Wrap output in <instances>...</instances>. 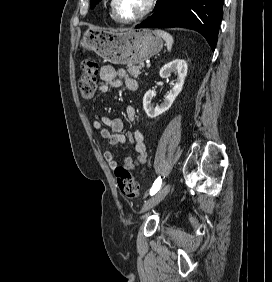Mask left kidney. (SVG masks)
<instances>
[{
    "label": "left kidney",
    "mask_w": 272,
    "mask_h": 282,
    "mask_svg": "<svg viewBox=\"0 0 272 282\" xmlns=\"http://www.w3.org/2000/svg\"><path fill=\"white\" fill-rule=\"evenodd\" d=\"M187 70V63L183 59H174L173 61L167 63L161 68V78L170 77L172 72L175 73L177 77L175 81H173L172 89L159 106L153 107L151 103L153 97L155 96L154 91L150 89L145 93L143 98V107L148 117L155 118L161 115L162 113L166 112L171 107L176 97L182 91L185 78L187 76Z\"/></svg>",
    "instance_id": "left-kidney-1"
}]
</instances>
